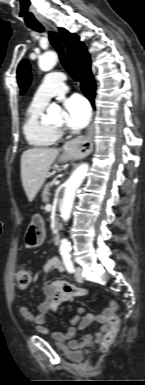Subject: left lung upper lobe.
I'll use <instances>...</instances> for the list:
<instances>
[{
	"label": "left lung upper lobe",
	"mask_w": 145,
	"mask_h": 385,
	"mask_svg": "<svg viewBox=\"0 0 145 385\" xmlns=\"http://www.w3.org/2000/svg\"><path fill=\"white\" fill-rule=\"evenodd\" d=\"M17 78L18 84L21 88V93L23 94L31 82L30 66L27 60L20 62L17 69Z\"/></svg>",
	"instance_id": "obj_1"
}]
</instances>
